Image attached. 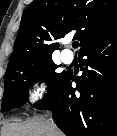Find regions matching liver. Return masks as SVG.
Masks as SVG:
<instances>
[{
  "label": "liver",
  "mask_w": 117,
  "mask_h": 136,
  "mask_svg": "<svg viewBox=\"0 0 117 136\" xmlns=\"http://www.w3.org/2000/svg\"><path fill=\"white\" fill-rule=\"evenodd\" d=\"M3 134V136H63L52 122L42 117H34L23 123L6 124Z\"/></svg>",
  "instance_id": "obj_1"
}]
</instances>
